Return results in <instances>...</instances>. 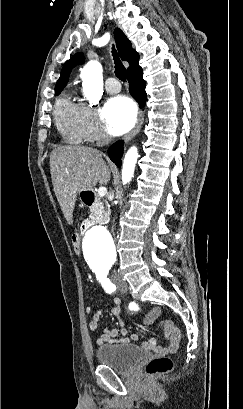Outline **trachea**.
<instances>
[{
  "instance_id": "obj_1",
  "label": "trachea",
  "mask_w": 243,
  "mask_h": 409,
  "mask_svg": "<svg viewBox=\"0 0 243 409\" xmlns=\"http://www.w3.org/2000/svg\"><path fill=\"white\" fill-rule=\"evenodd\" d=\"M112 53H113V57L115 60V74L121 81H125L126 76H127L126 69L124 65L121 63V61L119 60L115 49H113Z\"/></svg>"
}]
</instances>
